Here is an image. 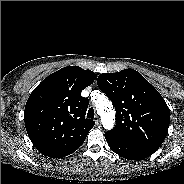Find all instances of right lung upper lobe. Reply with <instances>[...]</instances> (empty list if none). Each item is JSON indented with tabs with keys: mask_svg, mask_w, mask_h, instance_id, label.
<instances>
[{
	"mask_svg": "<svg viewBox=\"0 0 184 184\" xmlns=\"http://www.w3.org/2000/svg\"><path fill=\"white\" fill-rule=\"evenodd\" d=\"M95 78L90 70L68 66L50 74L33 90L24 121L30 140L43 155L71 152L84 142L95 122L85 118L89 100L81 91Z\"/></svg>",
	"mask_w": 184,
	"mask_h": 184,
	"instance_id": "cb5924a9",
	"label": "right lung upper lobe"
}]
</instances>
